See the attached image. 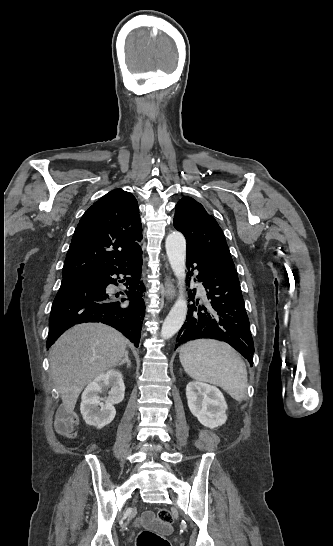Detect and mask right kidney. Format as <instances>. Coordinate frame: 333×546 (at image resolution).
Segmentation results:
<instances>
[{
    "label": "right kidney",
    "mask_w": 333,
    "mask_h": 546,
    "mask_svg": "<svg viewBox=\"0 0 333 546\" xmlns=\"http://www.w3.org/2000/svg\"><path fill=\"white\" fill-rule=\"evenodd\" d=\"M122 378L120 371L109 370L99 374L87 385L82 393L80 411L88 425L101 429L114 419L116 415L114 405L124 399L125 386ZM110 387L109 397L105 399V404H102L101 401L104 399L98 394Z\"/></svg>",
    "instance_id": "right-kidney-1"
}]
</instances>
